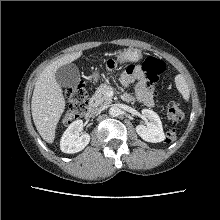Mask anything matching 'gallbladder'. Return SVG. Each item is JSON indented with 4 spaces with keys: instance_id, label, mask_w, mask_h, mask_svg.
<instances>
[{
    "instance_id": "bac80fb5",
    "label": "gallbladder",
    "mask_w": 220,
    "mask_h": 220,
    "mask_svg": "<svg viewBox=\"0 0 220 220\" xmlns=\"http://www.w3.org/2000/svg\"><path fill=\"white\" fill-rule=\"evenodd\" d=\"M58 84L65 88H76L80 83V74L78 67L69 63L59 67L55 73Z\"/></svg>"
}]
</instances>
